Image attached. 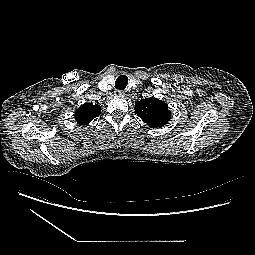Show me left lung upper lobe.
<instances>
[{
  "label": "left lung upper lobe",
  "mask_w": 255,
  "mask_h": 255,
  "mask_svg": "<svg viewBox=\"0 0 255 255\" xmlns=\"http://www.w3.org/2000/svg\"><path fill=\"white\" fill-rule=\"evenodd\" d=\"M135 112L152 128H159L168 123L171 112L168 105L157 98L151 97L135 102Z\"/></svg>",
  "instance_id": "5c2ea615"
}]
</instances>
